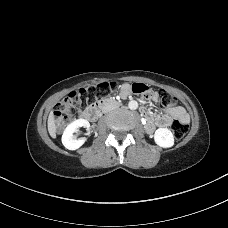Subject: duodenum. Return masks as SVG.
Listing matches in <instances>:
<instances>
[{"label":"duodenum","instance_id":"410a0bca","mask_svg":"<svg viewBox=\"0 0 228 228\" xmlns=\"http://www.w3.org/2000/svg\"><path fill=\"white\" fill-rule=\"evenodd\" d=\"M119 102L115 99L107 98L97 102L96 104L86 108L83 112V117L87 120L95 121L99 118L102 113V110L108 106H118ZM160 125L157 117L152 115L146 116V127L149 130H153L155 127Z\"/></svg>","mask_w":228,"mask_h":228}]
</instances>
